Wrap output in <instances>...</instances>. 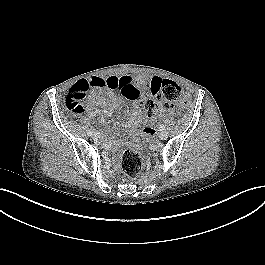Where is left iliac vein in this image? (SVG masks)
Returning <instances> with one entry per match:
<instances>
[{"label": "left iliac vein", "mask_w": 265, "mask_h": 265, "mask_svg": "<svg viewBox=\"0 0 265 265\" xmlns=\"http://www.w3.org/2000/svg\"><path fill=\"white\" fill-rule=\"evenodd\" d=\"M159 137H160L161 140L167 139L168 138V132L165 131V130L161 131L160 134H159Z\"/></svg>", "instance_id": "4c4485c4"}]
</instances>
